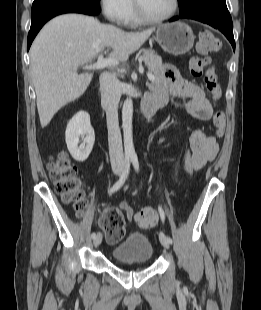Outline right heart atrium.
Listing matches in <instances>:
<instances>
[{"label": "right heart atrium", "instance_id": "right-heart-atrium-1", "mask_svg": "<svg viewBox=\"0 0 261 310\" xmlns=\"http://www.w3.org/2000/svg\"><path fill=\"white\" fill-rule=\"evenodd\" d=\"M99 5L105 17L117 24H124L133 10L131 0H99Z\"/></svg>", "mask_w": 261, "mask_h": 310}]
</instances>
